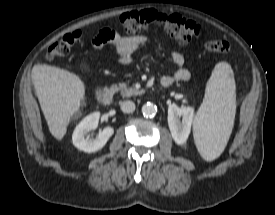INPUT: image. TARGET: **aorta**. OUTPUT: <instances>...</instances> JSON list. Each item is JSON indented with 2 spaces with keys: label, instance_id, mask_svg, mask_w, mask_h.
Returning <instances> with one entry per match:
<instances>
[{
  "label": "aorta",
  "instance_id": "1",
  "mask_svg": "<svg viewBox=\"0 0 275 215\" xmlns=\"http://www.w3.org/2000/svg\"><path fill=\"white\" fill-rule=\"evenodd\" d=\"M141 111H142V114L144 115V117L152 118L157 113V107H156V105H154L152 103H147L142 106Z\"/></svg>",
  "mask_w": 275,
  "mask_h": 215
}]
</instances>
